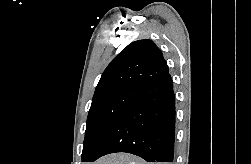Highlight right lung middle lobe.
Listing matches in <instances>:
<instances>
[{"mask_svg":"<svg viewBox=\"0 0 251 164\" xmlns=\"http://www.w3.org/2000/svg\"><path fill=\"white\" fill-rule=\"evenodd\" d=\"M140 90L122 87L93 98L83 143V162L115 120L139 97Z\"/></svg>","mask_w":251,"mask_h":164,"instance_id":"1","label":"right lung middle lobe"}]
</instances>
